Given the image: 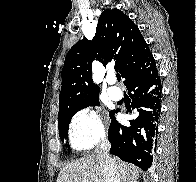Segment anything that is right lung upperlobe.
Segmentation results:
<instances>
[{
	"label": "right lung upper lobe",
	"instance_id": "1",
	"mask_svg": "<svg viewBox=\"0 0 196 182\" xmlns=\"http://www.w3.org/2000/svg\"><path fill=\"white\" fill-rule=\"evenodd\" d=\"M150 57L152 54L137 25L119 9L104 10L92 41L80 40L66 55L58 116L99 96V86L92 81L95 58L103 65L114 61L125 83Z\"/></svg>",
	"mask_w": 196,
	"mask_h": 182
}]
</instances>
